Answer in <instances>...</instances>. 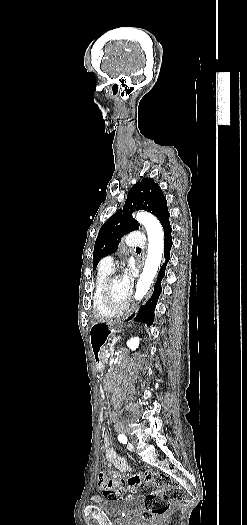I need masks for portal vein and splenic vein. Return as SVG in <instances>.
I'll return each mask as SVG.
<instances>
[{
	"label": "portal vein and splenic vein",
	"mask_w": 247,
	"mask_h": 525,
	"mask_svg": "<svg viewBox=\"0 0 247 525\" xmlns=\"http://www.w3.org/2000/svg\"><path fill=\"white\" fill-rule=\"evenodd\" d=\"M106 358H110V353H106Z\"/></svg>",
	"instance_id": "portal-vein-and-splenic-vein-1"
}]
</instances>
